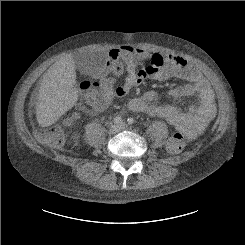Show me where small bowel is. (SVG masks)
I'll list each match as a JSON object with an SVG mask.
<instances>
[{
    "instance_id": "obj_1",
    "label": "small bowel",
    "mask_w": 245,
    "mask_h": 245,
    "mask_svg": "<svg viewBox=\"0 0 245 245\" xmlns=\"http://www.w3.org/2000/svg\"><path fill=\"white\" fill-rule=\"evenodd\" d=\"M126 47L110 50L112 59L122 57L125 63L124 82L115 85V78H111L113 90L109 94L101 92L84 91L83 97L86 106L80 108L87 114H96L105 110L114 97L123 98L133 88L144 85L150 80L165 81L171 78H179L189 81L188 84L171 89L169 96L173 101L179 102L185 97L197 95L200 104L187 111L180 110L175 104L162 103L154 92H146L139 97L129 100L127 106L130 110L146 113L150 116L164 118L174 129L183 132L187 137H194L202 132L215 115L214 93L203 75L192 67L185 58L171 53H160L150 50H141L135 60L129 59ZM162 61L164 64L160 65ZM145 64L143 67L141 65ZM111 63L100 70L99 76H107ZM114 76L120 71L113 69ZM72 71L67 70L70 78Z\"/></svg>"
}]
</instances>
